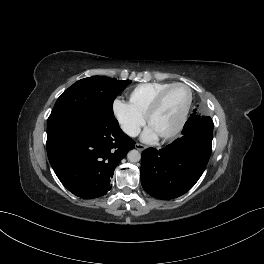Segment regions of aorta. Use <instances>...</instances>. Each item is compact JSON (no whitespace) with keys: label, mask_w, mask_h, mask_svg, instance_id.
Returning <instances> with one entry per match:
<instances>
[{"label":"aorta","mask_w":264,"mask_h":264,"mask_svg":"<svg viewBox=\"0 0 264 264\" xmlns=\"http://www.w3.org/2000/svg\"><path fill=\"white\" fill-rule=\"evenodd\" d=\"M127 158L130 162H138L141 159V154L137 150H131L128 153Z\"/></svg>","instance_id":"obj_1"}]
</instances>
